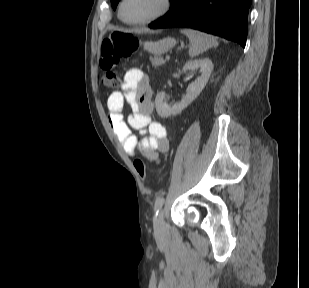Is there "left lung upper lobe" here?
Returning <instances> with one entry per match:
<instances>
[{
  "label": "left lung upper lobe",
  "instance_id": "obj_1",
  "mask_svg": "<svg viewBox=\"0 0 309 288\" xmlns=\"http://www.w3.org/2000/svg\"><path fill=\"white\" fill-rule=\"evenodd\" d=\"M175 1H176V0H170L171 5H172ZM118 2H119V0H111V4H112L113 9H116V6H117Z\"/></svg>",
  "mask_w": 309,
  "mask_h": 288
}]
</instances>
